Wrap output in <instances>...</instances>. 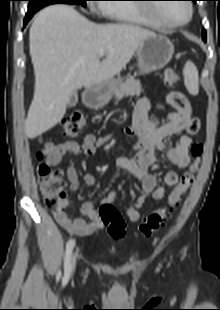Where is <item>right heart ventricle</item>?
<instances>
[{"label":"right heart ventricle","mask_w":220,"mask_h":310,"mask_svg":"<svg viewBox=\"0 0 220 310\" xmlns=\"http://www.w3.org/2000/svg\"><path fill=\"white\" fill-rule=\"evenodd\" d=\"M122 1V0H117ZM101 10L109 15L112 19L127 23L148 26L153 28H162L154 18L149 16L144 9L137 6H125L119 4H109L105 7H102Z\"/></svg>","instance_id":"e07e8e85"}]
</instances>
